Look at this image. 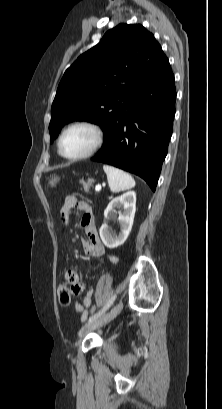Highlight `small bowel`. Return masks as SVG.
<instances>
[{
    "label": "small bowel",
    "instance_id": "obj_1",
    "mask_svg": "<svg viewBox=\"0 0 222 409\" xmlns=\"http://www.w3.org/2000/svg\"><path fill=\"white\" fill-rule=\"evenodd\" d=\"M74 209L82 213L80 225L84 231L82 248L85 254L95 258L103 256L105 254V249L95 226L92 207L88 202L78 200L74 195H68L61 209V217L66 225L70 223L71 213ZM108 259L113 264L118 263V258L114 255H108ZM64 281L66 284L70 283V288L72 289L71 295L73 297L83 296L85 285L83 281H79L74 269L70 268L67 270L64 276ZM93 295L94 289L91 288L83 297L82 302H75L74 304V310L81 314L82 321H85L89 315L90 307H92Z\"/></svg>",
    "mask_w": 222,
    "mask_h": 409
}]
</instances>
